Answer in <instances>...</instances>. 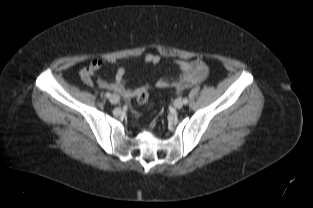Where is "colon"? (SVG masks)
Segmentation results:
<instances>
[{
    "label": "colon",
    "instance_id": "1",
    "mask_svg": "<svg viewBox=\"0 0 313 208\" xmlns=\"http://www.w3.org/2000/svg\"><path fill=\"white\" fill-rule=\"evenodd\" d=\"M148 98H149V94L145 89L141 90L136 96V100L138 104L140 105H145L148 101Z\"/></svg>",
    "mask_w": 313,
    "mask_h": 208
}]
</instances>
